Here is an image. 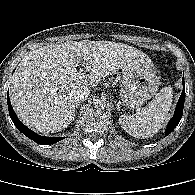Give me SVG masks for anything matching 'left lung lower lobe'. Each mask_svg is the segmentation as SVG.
<instances>
[{
  "label": "left lung lower lobe",
  "instance_id": "0a47b994",
  "mask_svg": "<svg viewBox=\"0 0 195 195\" xmlns=\"http://www.w3.org/2000/svg\"><path fill=\"white\" fill-rule=\"evenodd\" d=\"M182 84L184 85V75L182 79ZM184 102H185V87L182 90V94L176 106L174 116L172 117V119L169 121L167 125L165 135H168L169 133H171L174 130V128L178 125V123L180 122L182 114H183Z\"/></svg>",
  "mask_w": 195,
  "mask_h": 195
}]
</instances>
